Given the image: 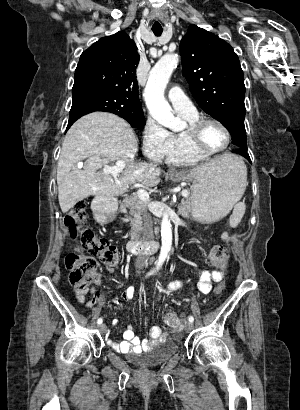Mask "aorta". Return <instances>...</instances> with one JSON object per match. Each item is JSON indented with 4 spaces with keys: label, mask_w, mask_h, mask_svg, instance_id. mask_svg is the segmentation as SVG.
Segmentation results:
<instances>
[{
    "label": "aorta",
    "mask_w": 300,
    "mask_h": 410,
    "mask_svg": "<svg viewBox=\"0 0 300 410\" xmlns=\"http://www.w3.org/2000/svg\"><path fill=\"white\" fill-rule=\"evenodd\" d=\"M179 61L177 54L164 55L151 69L144 90V98L151 116L161 125L178 131L182 121L172 113V108L164 98V91L173 70ZM161 250L156 261V269H159L166 260L172 246V225L165 212L161 222Z\"/></svg>",
    "instance_id": "aorta-1"
}]
</instances>
